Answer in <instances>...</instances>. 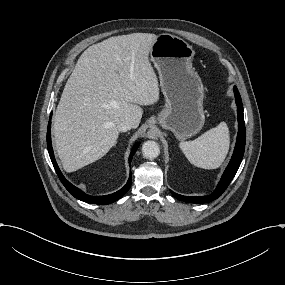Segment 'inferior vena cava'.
<instances>
[{
    "label": "inferior vena cava",
    "mask_w": 285,
    "mask_h": 285,
    "mask_svg": "<svg viewBox=\"0 0 285 285\" xmlns=\"http://www.w3.org/2000/svg\"><path fill=\"white\" fill-rule=\"evenodd\" d=\"M131 128L132 124L128 117L123 118L122 121L117 124V130L120 132H125Z\"/></svg>",
    "instance_id": "1"
}]
</instances>
